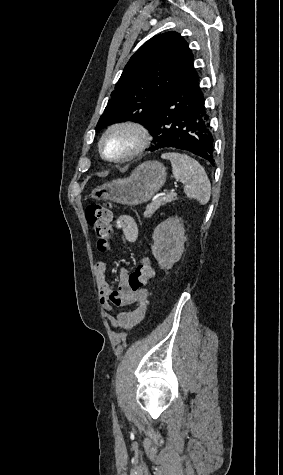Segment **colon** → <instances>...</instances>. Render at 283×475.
<instances>
[{"label": "colon", "instance_id": "obj_1", "mask_svg": "<svg viewBox=\"0 0 283 475\" xmlns=\"http://www.w3.org/2000/svg\"><path fill=\"white\" fill-rule=\"evenodd\" d=\"M85 216L96 236L97 250L100 252L105 251L109 247L113 232L110 205L90 204L85 209ZM152 277V261L148 256H144L139 260L136 269L128 275V288L133 291L139 290L144 282L151 280Z\"/></svg>", "mask_w": 283, "mask_h": 475}]
</instances>
